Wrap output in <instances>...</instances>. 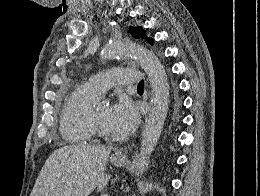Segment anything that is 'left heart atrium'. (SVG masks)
<instances>
[{
  "mask_svg": "<svg viewBox=\"0 0 260 196\" xmlns=\"http://www.w3.org/2000/svg\"><path fill=\"white\" fill-rule=\"evenodd\" d=\"M139 122L137 106L127 97L119 98L109 109V124L114 132L128 134Z\"/></svg>",
  "mask_w": 260,
  "mask_h": 196,
  "instance_id": "obj_1",
  "label": "left heart atrium"
}]
</instances>
